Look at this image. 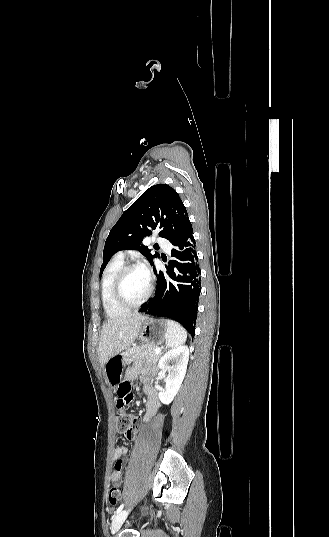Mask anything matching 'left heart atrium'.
Segmentation results:
<instances>
[{"mask_svg": "<svg viewBox=\"0 0 329 537\" xmlns=\"http://www.w3.org/2000/svg\"><path fill=\"white\" fill-rule=\"evenodd\" d=\"M140 269H141V271H142L147 277H149V271H148V268L146 267L145 264H142V265L140 266Z\"/></svg>", "mask_w": 329, "mask_h": 537, "instance_id": "left-heart-atrium-1", "label": "left heart atrium"}]
</instances>
